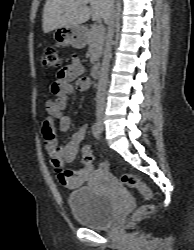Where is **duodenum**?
Segmentation results:
<instances>
[{"mask_svg":"<svg viewBox=\"0 0 194 250\" xmlns=\"http://www.w3.org/2000/svg\"><path fill=\"white\" fill-rule=\"evenodd\" d=\"M100 75V65L98 63L94 64L92 67V77L94 80H97Z\"/></svg>","mask_w":194,"mask_h":250,"instance_id":"duodenum-1","label":"duodenum"}]
</instances>
